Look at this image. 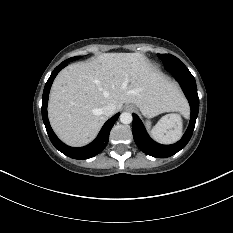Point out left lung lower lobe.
<instances>
[{
	"mask_svg": "<svg viewBox=\"0 0 233 233\" xmlns=\"http://www.w3.org/2000/svg\"><path fill=\"white\" fill-rule=\"evenodd\" d=\"M172 75L179 82L191 107L190 123L182 139L172 145H161L156 143L147 134L139 117L133 114L132 133L137 146L145 154L156 158L170 157L179 152L187 145V143L192 137L196 118L198 116L199 111V98L197 94V86L192 74L189 71H173Z\"/></svg>",
	"mask_w": 233,
	"mask_h": 233,
	"instance_id": "obj_1",
	"label": "left lung lower lobe"
}]
</instances>
